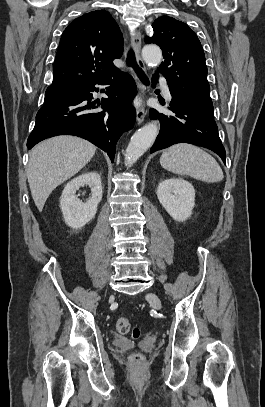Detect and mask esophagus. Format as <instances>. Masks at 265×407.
Wrapping results in <instances>:
<instances>
[{
    "label": "esophagus",
    "mask_w": 265,
    "mask_h": 407,
    "mask_svg": "<svg viewBox=\"0 0 265 407\" xmlns=\"http://www.w3.org/2000/svg\"><path fill=\"white\" fill-rule=\"evenodd\" d=\"M131 43H132L133 49H134L135 54H136V61H137L138 67L141 70L146 71V66H145V64L143 62V59L141 57V54H140V51H141V34H140V32L138 30L135 31V33L132 35ZM136 80H137L139 94H140V96L143 97L145 95V86L140 82V80H139V78L137 76H136ZM145 115H146L145 108L143 106H140L137 109V112H136L137 124L143 123Z\"/></svg>",
    "instance_id": "1"
}]
</instances>
